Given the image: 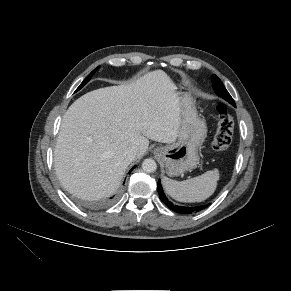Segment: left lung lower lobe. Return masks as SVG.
<instances>
[{"label":"left lung lower lobe","mask_w":291,"mask_h":291,"mask_svg":"<svg viewBox=\"0 0 291 291\" xmlns=\"http://www.w3.org/2000/svg\"><path fill=\"white\" fill-rule=\"evenodd\" d=\"M157 189H158V193H159V197H160L161 201L168 208H170L171 210H173L174 212L181 213V214H192V213L199 212V211L203 210L204 208H207V205H198V206H193V207H186V206L174 205L165 196V194L163 192V189H162V186H161L160 180L158 181Z\"/></svg>","instance_id":"obj_1"}]
</instances>
